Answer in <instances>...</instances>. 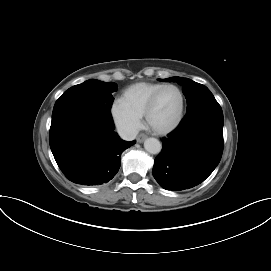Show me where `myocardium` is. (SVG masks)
<instances>
[{"instance_id":"f54148a6","label":"myocardium","mask_w":271,"mask_h":271,"mask_svg":"<svg viewBox=\"0 0 271 271\" xmlns=\"http://www.w3.org/2000/svg\"><path fill=\"white\" fill-rule=\"evenodd\" d=\"M169 88H173L175 90H177V92L179 93L180 95V100H181V103H180V110H179V113H178V116L177 118L175 119V121L170 124L169 126L165 127V128H155L154 126L151 125V122H150V116H151V113L152 111L154 110L155 106H156V103L160 97V95L166 90V89H169ZM184 113H185V96H184V93L183 91L181 90L180 87H178L177 85H174V84H166L164 86H162L161 88H159L152 96L151 98L149 99L146 107H145V110H144V113H143V116H144V119H145V122L147 123V125L157 134H160V135H164V134H168L170 132H172L174 129H176L179 124L181 123L183 117H184Z\"/></svg>"}]
</instances>
